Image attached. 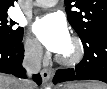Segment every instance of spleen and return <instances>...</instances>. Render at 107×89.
Returning a JSON list of instances; mask_svg holds the SVG:
<instances>
[{
	"instance_id": "1",
	"label": "spleen",
	"mask_w": 107,
	"mask_h": 89,
	"mask_svg": "<svg viewBox=\"0 0 107 89\" xmlns=\"http://www.w3.org/2000/svg\"><path fill=\"white\" fill-rule=\"evenodd\" d=\"M100 87H97V89H106L107 86L106 85H99Z\"/></svg>"
}]
</instances>
